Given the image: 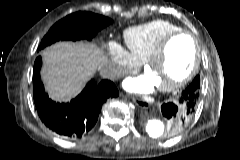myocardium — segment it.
<instances>
[{
    "label": "myocardium",
    "instance_id": "myocardium-1",
    "mask_svg": "<svg viewBox=\"0 0 240 160\" xmlns=\"http://www.w3.org/2000/svg\"><path fill=\"white\" fill-rule=\"evenodd\" d=\"M178 36H187L191 39L193 46H194V50H195L194 63L192 65V67L190 68V70L188 71V73L181 79L176 80L175 82H172L167 85L158 86V90L161 92H172V91L177 90V89L183 87L184 85H186L196 75V73L199 69L200 63H201V46H200V43H199L197 37L189 31L178 30V31L172 32V33L168 34L167 36H165L161 40V42L158 44V46L155 48V50L150 54V56L143 62L144 72L146 73L147 70L153 64H155L162 58V56L164 55V53L166 51L168 44L174 38H176Z\"/></svg>",
    "mask_w": 240,
    "mask_h": 160
}]
</instances>
